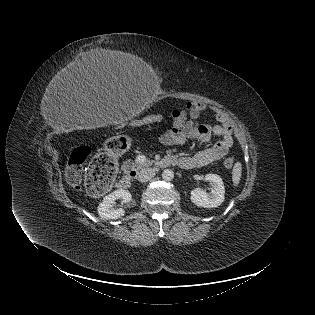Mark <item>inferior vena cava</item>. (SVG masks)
<instances>
[{
    "label": "inferior vena cava",
    "instance_id": "602c4592",
    "mask_svg": "<svg viewBox=\"0 0 315 315\" xmlns=\"http://www.w3.org/2000/svg\"><path fill=\"white\" fill-rule=\"evenodd\" d=\"M155 176V170L149 167L142 168L138 174V180L140 182H147Z\"/></svg>",
    "mask_w": 315,
    "mask_h": 315
}]
</instances>
